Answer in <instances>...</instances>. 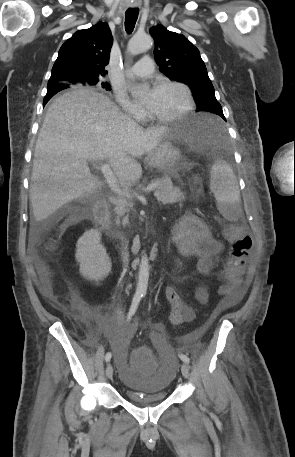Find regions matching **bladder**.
Returning a JSON list of instances; mask_svg holds the SVG:
<instances>
[{
  "mask_svg": "<svg viewBox=\"0 0 295 457\" xmlns=\"http://www.w3.org/2000/svg\"><path fill=\"white\" fill-rule=\"evenodd\" d=\"M108 360L117 366L118 376L122 378L125 386L126 398L138 405L164 401L168 397L167 388L172 380V369L176 366L177 354L171 352L172 348L166 342H157L156 351L164 356L158 357L159 370L157 374H132L128 351V338H111Z\"/></svg>",
  "mask_w": 295,
  "mask_h": 457,
  "instance_id": "31cf9c89",
  "label": "bladder"
}]
</instances>
